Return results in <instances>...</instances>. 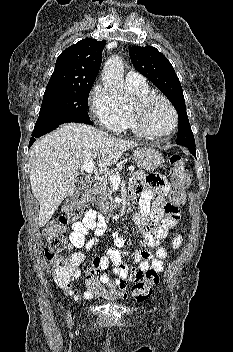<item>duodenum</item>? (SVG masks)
I'll return each instance as SVG.
<instances>
[{
    "label": "duodenum",
    "mask_w": 233,
    "mask_h": 352,
    "mask_svg": "<svg viewBox=\"0 0 233 352\" xmlns=\"http://www.w3.org/2000/svg\"><path fill=\"white\" fill-rule=\"evenodd\" d=\"M100 190V184L96 183L94 184L93 188H92V193L95 194Z\"/></svg>",
    "instance_id": "1"
}]
</instances>
